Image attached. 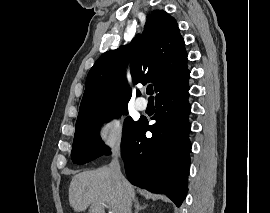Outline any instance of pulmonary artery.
Segmentation results:
<instances>
[{
	"instance_id": "1",
	"label": "pulmonary artery",
	"mask_w": 270,
	"mask_h": 213,
	"mask_svg": "<svg viewBox=\"0 0 270 213\" xmlns=\"http://www.w3.org/2000/svg\"><path fill=\"white\" fill-rule=\"evenodd\" d=\"M136 108L138 110H145L147 107V101L144 98H138L135 102Z\"/></svg>"
}]
</instances>
